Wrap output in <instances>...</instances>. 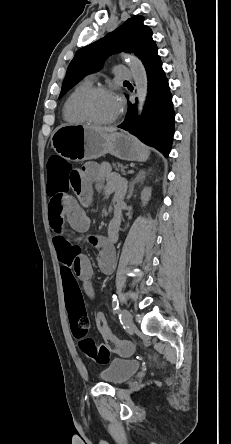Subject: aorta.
<instances>
[{"label":"aorta","instance_id":"1","mask_svg":"<svg viewBox=\"0 0 231 444\" xmlns=\"http://www.w3.org/2000/svg\"><path fill=\"white\" fill-rule=\"evenodd\" d=\"M127 59L135 82V88L137 90L138 114L141 115L143 103L148 92L147 74L142 62L136 56L128 55Z\"/></svg>","mask_w":231,"mask_h":444}]
</instances>
